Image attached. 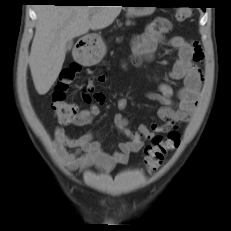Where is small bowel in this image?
Instances as JSON below:
<instances>
[{"label":"small bowel","mask_w":231,"mask_h":231,"mask_svg":"<svg viewBox=\"0 0 231 231\" xmlns=\"http://www.w3.org/2000/svg\"><path fill=\"white\" fill-rule=\"evenodd\" d=\"M171 29L170 22L165 18L152 21L146 30L136 36L132 42L133 60L136 63L149 61L156 53L158 44L164 35ZM169 45L178 50L176 61L170 76L173 79L183 80V86L177 93V102L173 100V89L166 83L159 85V94H148V98L161 104L158 111L162 125L152 124L151 128L145 125L132 130L128 120L122 113L128 106V100L120 97L116 101L119 110L114 117L116 127L129 139L118 145V151L106 152L99 140L92 132L78 137L68 136L64 129L57 127L54 130V148L61 162L71 170H84L92 166L104 171H111L117 164H126L132 153L138 152L146 140L153 138L157 133H166L179 123L188 121L196 110L201 89L200 63L204 54L197 42H190L182 36H175L168 41ZM98 81H105L103 74L97 75ZM83 100L90 104L89 108L78 112L68 123L83 126L91 123L93 118L100 114L99 104L104 101L101 93L95 92L93 78L89 79L82 89ZM95 101V102H94Z\"/></svg>","instance_id":"1"}]
</instances>
